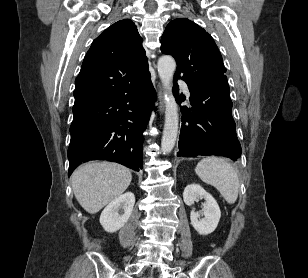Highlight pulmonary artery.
Returning a JSON list of instances; mask_svg holds the SVG:
<instances>
[{"label":"pulmonary artery","instance_id":"obj_1","mask_svg":"<svg viewBox=\"0 0 308 278\" xmlns=\"http://www.w3.org/2000/svg\"><path fill=\"white\" fill-rule=\"evenodd\" d=\"M179 85L181 86V88L183 89V91L186 93V95H190V92H189V89H188V86H187V84L184 82V81H182V80H180L179 81Z\"/></svg>","mask_w":308,"mask_h":278}]
</instances>
